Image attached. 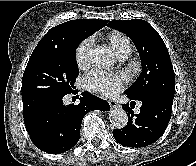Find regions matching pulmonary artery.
Listing matches in <instances>:
<instances>
[{
	"instance_id": "obj_1",
	"label": "pulmonary artery",
	"mask_w": 196,
	"mask_h": 166,
	"mask_svg": "<svg viewBox=\"0 0 196 166\" xmlns=\"http://www.w3.org/2000/svg\"><path fill=\"white\" fill-rule=\"evenodd\" d=\"M129 53H130L129 51H124L118 54L117 57L120 61H124L128 57Z\"/></svg>"
}]
</instances>
